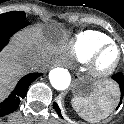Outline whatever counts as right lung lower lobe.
<instances>
[{
  "label": "right lung lower lobe",
  "instance_id": "obj_1",
  "mask_svg": "<svg viewBox=\"0 0 124 124\" xmlns=\"http://www.w3.org/2000/svg\"><path fill=\"white\" fill-rule=\"evenodd\" d=\"M29 25L28 22L0 21V51L8 44L10 37L20 29ZM41 73H31L17 83L7 99L0 103V117L14 112L20 103V98H24L29 85L40 76Z\"/></svg>",
  "mask_w": 124,
  "mask_h": 124
}]
</instances>
